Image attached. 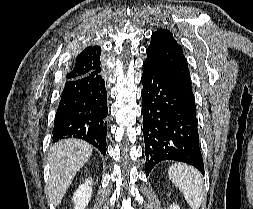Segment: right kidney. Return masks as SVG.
I'll list each match as a JSON object with an SVG mask.
<instances>
[{
	"label": "right kidney",
	"instance_id": "1",
	"mask_svg": "<svg viewBox=\"0 0 253 209\" xmlns=\"http://www.w3.org/2000/svg\"><path fill=\"white\" fill-rule=\"evenodd\" d=\"M92 179H87L86 182L79 186L75 191L73 196V201L75 203L74 209H85L88 205L91 194H92Z\"/></svg>",
	"mask_w": 253,
	"mask_h": 209
}]
</instances>
